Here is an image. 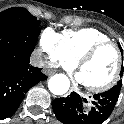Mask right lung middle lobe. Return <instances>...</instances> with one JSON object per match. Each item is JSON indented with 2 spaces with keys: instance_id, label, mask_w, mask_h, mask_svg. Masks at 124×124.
Returning a JSON list of instances; mask_svg holds the SVG:
<instances>
[{
  "instance_id": "1",
  "label": "right lung middle lobe",
  "mask_w": 124,
  "mask_h": 124,
  "mask_svg": "<svg viewBox=\"0 0 124 124\" xmlns=\"http://www.w3.org/2000/svg\"><path fill=\"white\" fill-rule=\"evenodd\" d=\"M40 22L25 8L12 7L0 12V31H21L38 28Z\"/></svg>"
}]
</instances>
